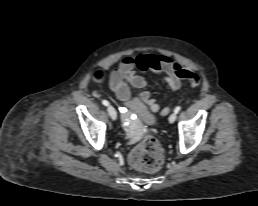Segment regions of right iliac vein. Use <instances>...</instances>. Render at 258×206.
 <instances>
[{"label": "right iliac vein", "instance_id": "right-iliac-vein-1", "mask_svg": "<svg viewBox=\"0 0 258 206\" xmlns=\"http://www.w3.org/2000/svg\"><path fill=\"white\" fill-rule=\"evenodd\" d=\"M108 114L109 116L113 119L116 120L117 119V112L115 110V108L111 105L108 106L107 108Z\"/></svg>", "mask_w": 258, "mask_h": 206}]
</instances>
